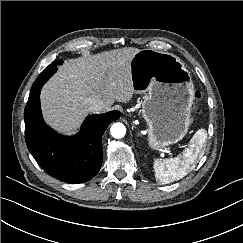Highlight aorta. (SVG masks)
<instances>
[{
	"mask_svg": "<svg viewBox=\"0 0 243 243\" xmlns=\"http://www.w3.org/2000/svg\"><path fill=\"white\" fill-rule=\"evenodd\" d=\"M110 132L114 138L120 139L125 136L126 128H125L124 124H122V123H114L111 126Z\"/></svg>",
	"mask_w": 243,
	"mask_h": 243,
	"instance_id": "762f6f07",
	"label": "aorta"
}]
</instances>
